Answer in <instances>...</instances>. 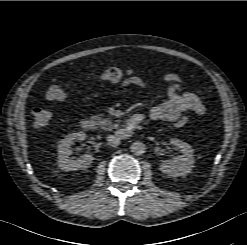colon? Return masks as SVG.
<instances>
[{
    "mask_svg": "<svg viewBox=\"0 0 247 245\" xmlns=\"http://www.w3.org/2000/svg\"><path fill=\"white\" fill-rule=\"evenodd\" d=\"M131 74V70L120 67H110L95 77L96 81L100 83L105 82H120ZM68 96L67 90L59 85H52L46 92V97L51 101H62ZM32 118L34 125L37 127L46 126L52 118V113L48 109L37 108L32 111ZM189 123L188 118L182 117L175 122L177 128L185 127Z\"/></svg>",
    "mask_w": 247,
    "mask_h": 245,
    "instance_id": "1",
    "label": "colon"
}]
</instances>
